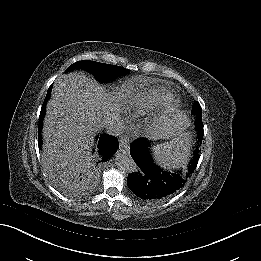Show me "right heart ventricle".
Instances as JSON below:
<instances>
[{
  "mask_svg": "<svg viewBox=\"0 0 261 261\" xmlns=\"http://www.w3.org/2000/svg\"><path fill=\"white\" fill-rule=\"evenodd\" d=\"M172 96V92L163 89L139 92L126 103L123 112L128 119L137 122L160 111Z\"/></svg>",
  "mask_w": 261,
  "mask_h": 261,
  "instance_id": "e07e8e85",
  "label": "right heart ventricle"
}]
</instances>
